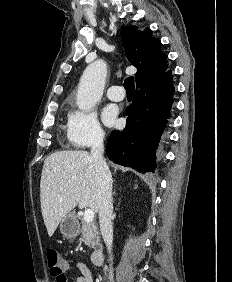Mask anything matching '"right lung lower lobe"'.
<instances>
[{
	"instance_id": "right-lung-lower-lobe-1",
	"label": "right lung lower lobe",
	"mask_w": 232,
	"mask_h": 282,
	"mask_svg": "<svg viewBox=\"0 0 232 282\" xmlns=\"http://www.w3.org/2000/svg\"><path fill=\"white\" fill-rule=\"evenodd\" d=\"M132 104L126 109V127L113 131L106 154L114 163L139 172H154L156 150L170 118L174 85L171 70L136 83Z\"/></svg>"
}]
</instances>
